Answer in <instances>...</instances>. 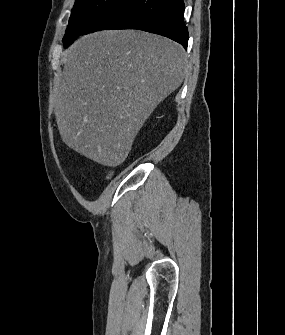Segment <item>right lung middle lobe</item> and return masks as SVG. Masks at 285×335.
Here are the masks:
<instances>
[{"label": "right lung middle lobe", "mask_w": 285, "mask_h": 335, "mask_svg": "<svg viewBox=\"0 0 285 335\" xmlns=\"http://www.w3.org/2000/svg\"><path fill=\"white\" fill-rule=\"evenodd\" d=\"M118 0H76L71 12L69 24L63 39L69 46L87 27Z\"/></svg>", "instance_id": "dd1d6c3e"}]
</instances>
